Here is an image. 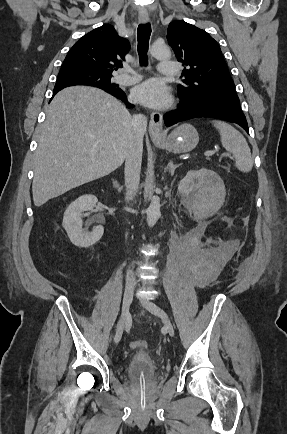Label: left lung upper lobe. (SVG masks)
<instances>
[{
    "mask_svg": "<svg viewBox=\"0 0 287 434\" xmlns=\"http://www.w3.org/2000/svg\"><path fill=\"white\" fill-rule=\"evenodd\" d=\"M167 39L177 60L186 66L180 97L239 100L218 43L204 30L183 20L168 26Z\"/></svg>",
    "mask_w": 287,
    "mask_h": 434,
    "instance_id": "left-lung-upper-lobe-1",
    "label": "left lung upper lobe"
}]
</instances>
